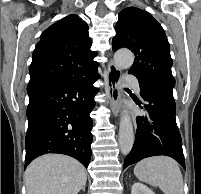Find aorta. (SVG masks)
Listing matches in <instances>:
<instances>
[{
	"mask_svg": "<svg viewBox=\"0 0 201 194\" xmlns=\"http://www.w3.org/2000/svg\"><path fill=\"white\" fill-rule=\"evenodd\" d=\"M134 61L133 53L127 49L118 50L114 54V63L120 69L131 67ZM119 147L123 155L130 153L134 143L133 125L127 110H123L119 125Z\"/></svg>",
	"mask_w": 201,
	"mask_h": 194,
	"instance_id": "obj_1",
	"label": "aorta"
}]
</instances>
